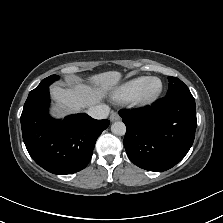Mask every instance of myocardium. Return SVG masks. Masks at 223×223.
I'll return each instance as SVG.
<instances>
[{"label": "myocardium", "instance_id": "1", "mask_svg": "<svg viewBox=\"0 0 223 223\" xmlns=\"http://www.w3.org/2000/svg\"><path fill=\"white\" fill-rule=\"evenodd\" d=\"M150 81H157L158 82V87L153 92H151L149 94H146L144 92V87H145V84L150 82ZM162 89H163V85H162V81L159 77H156V76L145 77L143 79L141 85L139 86L138 90L130 98V101L134 105H148V104H151L159 98V96L162 92Z\"/></svg>", "mask_w": 223, "mask_h": 223}]
</instances>
